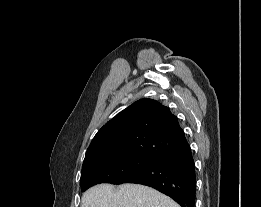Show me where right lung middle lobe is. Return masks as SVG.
Masks as SVG:
<instances>
[{"instance_id":"1","label":"right lung middle lobe","mask_w":261,"mask_h":207,"mask_svg":"<svg viewBox=\"0 0 261 207\" xmlns=\"http://www.w3.org/2000/svg\"><path fill=\"white\" fill-rule=\"evenodd\" d=\"M158 159L145 156H127L101 161L82 167L80 186L82 192L100 183L120 184L157 162Z\"/></svg>"}]
</instances>
